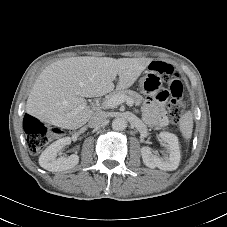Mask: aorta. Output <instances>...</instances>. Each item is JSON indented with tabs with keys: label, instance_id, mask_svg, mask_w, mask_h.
Here are the masks:
<instances>
[{
	"label": "aorta",
	"instance_id": "1",
	"mask_svg": "<svg viewBox=\"0 0 227 227\" xmlns=\"http://www.w3.org/2000/svg\"><path fill=\"white\" fill-rule=\"evenodd\" d=\"M112 128L116 131H123L127 128V120L122 117H117L112 121Z\"/></svg>",
	"mask_w": 227,
	"mask_h": 227
}]
</instances>
